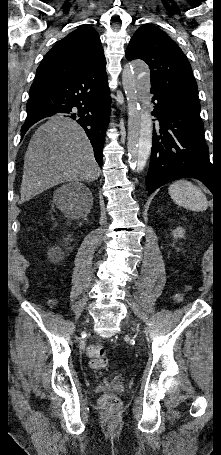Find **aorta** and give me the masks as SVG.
I'll return each mask as SVG.
<instances>
[{"instance_id":"762f6f07","label":"aorta","mask_w":221,"mask_h":455,"mask_svg":"<svg viewBox=\"0 0 221 455\" xmlns=\"http://www.w3.org/2000/svg\"><path fill=\"white\" fill-rule=\"evenodd\" d=\"M122 85L128 105L127 149L129 163L138 172L146 166L152 148L153 123L149 113L150 74L141 60L126 64Z\"/></svg>"}]
</instances>
